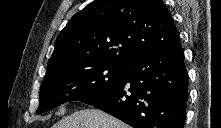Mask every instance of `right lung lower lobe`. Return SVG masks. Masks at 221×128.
I'll use <instances>...</instances> for the list:
<instances>
[{"label": "right lung lower lobe", "mask_w": 221, "mask_h": 128, "mask_svg": "<svg viewBox=\"0 0 221 128\" xmlns=\"http://www.w3.org/2000/svg\"><path fill=\"white\" fill-rule=\"evenodd\" d=\"M188 73L181 44L141 56L111 88L81 102L133 128H183Z\"/></svg>", "instance_id": "98d812e1"}]
</instances>
